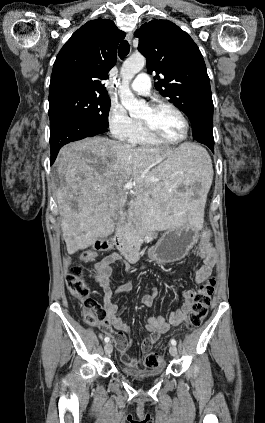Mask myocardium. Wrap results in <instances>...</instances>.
I'll use <instances>...</instances> for the list:
<instances>
[{
    "instance_id": "1",
    "label": "myocardium",
    "mask_w": 265,
    "mask_h": 423,
    "mask_svg": "<svg viewBox=\"0 0 265 423\" xmlns=\"http://www.w3.org/2000/svg\"><path fill=\"white\" fill-rule=\"evenodd\" d=\"M149 108L152 111H156L160 108H169V109L173 110L176 114L179 115V117L182 119L183 124H184V135L178 140H170V139L165 138L163 135H161L154 128V126L151 123L140 121L142 128L144 129V131L150 137L154 138L155 140H157V141H159L163 144H167V145H176V144H180V143L184 142L185 140H187V138L189 136V132H190V123H189V120H188L187 116L185 115V113L179 107H177L176 105H174L170 102L157 101V102L151 103L149 105Z\"/></svg>"
}]
</instances>
